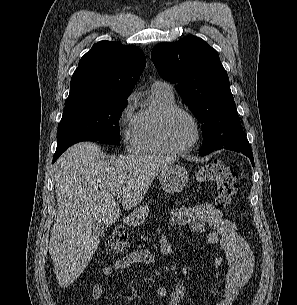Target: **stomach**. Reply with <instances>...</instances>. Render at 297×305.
<instances>
[{"instance_id":"obj_1","label":"stomach","mask_w":297,"mask_h":305,"mask_svg":"<svg viewBox=\"0 0 297 305\" xmlns=\"http://www.w3.org/2000/svg\"><path fill=\"white\" fill-rule=\"evenodd\" d=\"M189 179L187 170L180 165L170 164L166 169H163L159 174V182L163 190L168 193L180 192ZM148 206H141L133 211L130 222L139 224L144 222L148 215Z\"/></svg>"}]
</instances>
